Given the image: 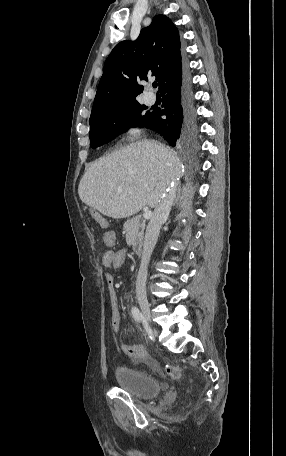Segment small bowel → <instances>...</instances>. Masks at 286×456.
Listing matches in <instances>:
<instances>
[{"mask_svg":"<svg viewBox=\"0 0 286 456\" xmlns=\"http://www.w3.org/2000/svg\"><path fill=\"white\" fill-rule=\"evenodd\" d=\"M104 243L108 246H113L115 244V234L112 231H107L104 234ZM128 253L127 249L118 251L109 250L103 255V265L108 269H117L125 263ZM105 281L110 302L111 325L115 332H119L121 330L122 318L113 275L111 273H105ZM121 349L127 357L135 361L138 360L136 353L141 350L144 351L142 345H123Z\"/></svg>","mask_w":286,"mask_h":456,"instance_id":"obj_1","label":"small bowel"}]
</instances>
